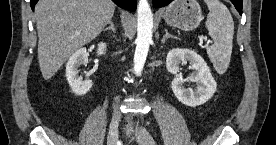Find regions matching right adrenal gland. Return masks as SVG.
I'll return each instance as SVG.
<instances>
[{
  "instance_id": "1",
  "label": "right adrenal gland",
  "mask_w": 276,
  "mask_h": 145,
  "mask_svg": "<svg viewBox=\"0 0 276 145\" xmlns=\"http://www.w3.org/2000/svg\"><path fill=\"white\" fill-rule=\"evenodd\" d=\"M109 27H106L103 31H112L113 33H116V28H115V26H114V24H113V21H112V19L109 21Z\"/></svg>"
}]
</instances>
